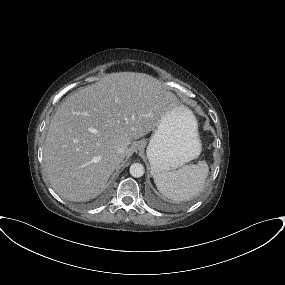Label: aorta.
I'll return each instance as SVG.
<instances>
[{"mask_svg":"<svg viewBox=\"0 0 285 285\" xmlns=\"http://www.w3.org/2000/svg\"><path fill=\"white\" fill-rule=\"evenodd\" d=\"M130 174L135 177V178H140L144 175L145 173V169H144V166L140 163H133L131 166H130Z\"/></svg>","mask_w":285,"mask_h":285,"instance_id":"aorta-1","label":"aorta"}]
</instances>
